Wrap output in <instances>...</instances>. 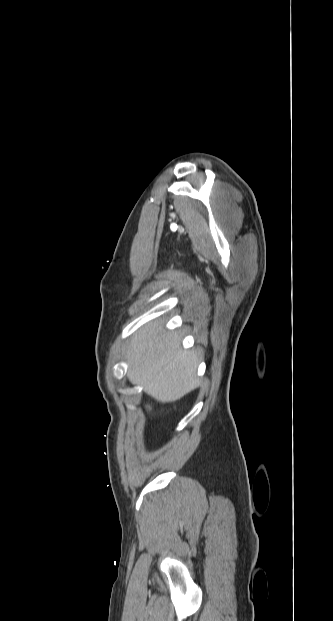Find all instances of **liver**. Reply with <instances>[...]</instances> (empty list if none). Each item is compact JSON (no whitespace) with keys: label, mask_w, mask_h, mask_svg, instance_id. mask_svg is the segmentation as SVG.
Here are the masks:
<instances>
[{"label":"liver","mask_w":333,"mask_h":621,"mask_svg":"<svg viewBox=\"0 0 333 621\" xmlns=\"http://www.w3.org/2000/svg\"><path fill=\"white\" fill-rule=\"evenodd\" d=\"M132 384L161 402H173L198 384L199 354L183 350L177 332H166L159 321L133 334L126 350Z\"/></svg>","instance_id":"obj_1"}]
</instances>
